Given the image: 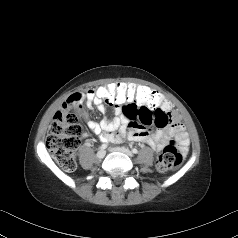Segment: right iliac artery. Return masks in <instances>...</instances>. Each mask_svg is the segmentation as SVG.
<instances>
[{
    "label": "right iliac artery",
    "instance_id": "82829eb1",
    "mask_svg": "<svg viewBox=\"0 0 238 238\" xmlns=\"http://www.w3.org/2000/svg\"><path fill=\"white\" fill-rule=\"evenodd\" d=\"M107 146H108L107 144H102L100 148H101V149H106Z\"/></svg>",
    "mask_w": 238,
    "mask_h": 238
}]
</instances>
